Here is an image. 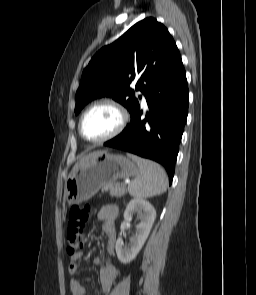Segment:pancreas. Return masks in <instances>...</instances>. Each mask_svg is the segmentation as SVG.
<instances>
[{
	"label": "pancreas",
	"mask_w": 256,
	"mask_h": 295,
	"mask_svg": "<svg viewBox=\"0 0 256 295\" xmlns=\"http://www.w3.org/2000/svg\"><path fill=\"white\" fill-rule=\"evenodd\" d=\"M102 192H109L111 196L121 197L127 193V189L124 184L112 183L104 186Z\"/></svg>",
	"instance_id": "cf45deb5"
}]
</instances>
